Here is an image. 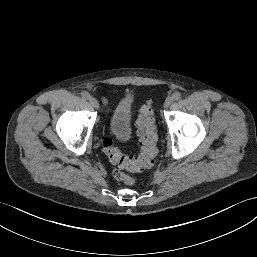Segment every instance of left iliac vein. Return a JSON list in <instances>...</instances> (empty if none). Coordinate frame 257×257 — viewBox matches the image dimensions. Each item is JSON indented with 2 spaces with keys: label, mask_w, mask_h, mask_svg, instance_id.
I'll list each match as a JSON object with an SVG mask.
<instances>
[{
  "label": "left iliac vein",
  "mask_w": 257,
  "mask_h": 257,
  "mask_svg": "<svg viewBox=\"0 0 257 257\" xmlns=\"http://www.w3.org/2000/svg\"><path fill=\"white\" fill-rule=\"evenodd\" d=\"M173 102V98L172 97H168L166 98L165 102H164V108H168Z\"/></svg>",
  "instance_id": "obj_1"
}]
</instances>
